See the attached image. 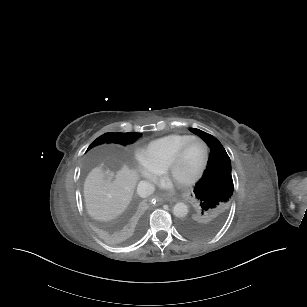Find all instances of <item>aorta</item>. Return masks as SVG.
<instances>
[{
	"instance_id": "obj_1",
	"label": "aorta",
	"mask_w": 307,
	"mask_h": 307,
	"mask_svg": "<svg viewBox=\"0 0 307 307\" xmlns=\"http://www.w3.org/2000/svg\"><path fill=\"white\" fill-rule=\"evenodd\" d=\"M188 213V207L185 203L183 202H178L174 205L173 207V214L176 216V217H185Z\"/></svg>"
}]
</instances>
